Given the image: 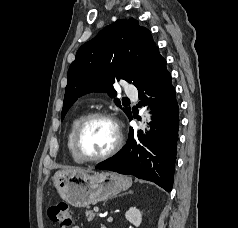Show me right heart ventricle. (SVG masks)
<instances>
[{
    "mask_svg": "<svg viewBox=\"0 0 238 228\" xmlns=\"http://www.w3.org/2000/svg\"><path fill=\"white\" fill-rule=\"evenodd\" d=\"M83 117H84L83 114H79L72 119L70 126H69L68 133H67V138H66L67 149H68L73 161L76 163H82V161L76 156V154L74 152V148H73L74 134H75L78 124L80 123V121Z\"/></svg>",
    "mask_w": 238,
    "mask_h": 228,
    "instance_id": "1",
    "label": "right heart ventricle"
}]
</instances>
